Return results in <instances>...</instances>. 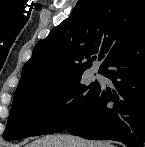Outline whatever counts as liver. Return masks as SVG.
Wrapping results in <instances>:
<instances>
[{
	"label": "liver",
	"instance_id": "1",
	"mask_svg": "<svg viewBox=\"0 0 145 147\" xmlns=\"http://www.w3.org/2000/svg\"><path fill=\"white\" fill-rule=\"evenodd\" d=\"M26 147H114L109 143L88 141L70 135H47L26 145Z\"/></svg>",
	"mask_w": 145,
	"mask_h": 147
}]
</instances>
